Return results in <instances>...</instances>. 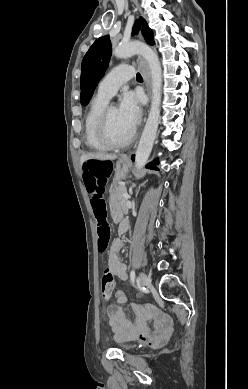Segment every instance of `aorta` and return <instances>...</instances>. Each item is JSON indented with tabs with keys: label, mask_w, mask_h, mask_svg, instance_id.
Listing matches in <instances>:
<instances>
[{
	"label": "aorta",
	"mask_w": 248,
	"mask_h": 389,
	"mask_svg": "<svg viewBox=\"0 0 248 389\" xmlns=\"http://www.w3.org/2000/svg\"><path fill=\"white\" fill-rule=\"evenodd\" d=\"M113 54L117 58H125L133 54H140L147 61L151 72V107L135 154V167L137 170H140L148 161L158 129L162 90V69L156 52L141 42L122 43L114 49Z\"/></svg>",
	"instance_id": "762f6f07"
}]
</instances>
